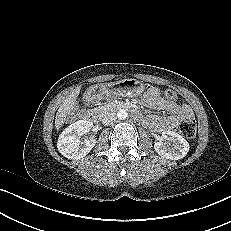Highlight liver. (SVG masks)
<instances>
[{
	"label": "liver",
	"instance_id": "liver-1",
	"mask_svg": "<svg viewBox=\"0 0 231 231\" xmlns=\"http://www.w3.org/2000/svg\"><path fill=\"white\" fill-rule=\"evenodd\" d=\"M79 91H75L66 96L63 103L60 105L55 118V127L59 130L66 122L68 115L76 104Z\"/></svg>",
	"mask_w": 231,
	"mask_h": 231
}]
</instances>
